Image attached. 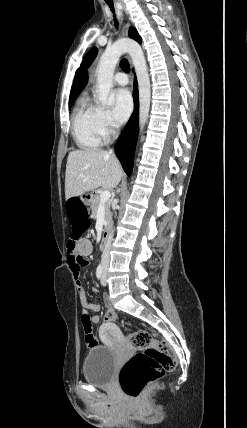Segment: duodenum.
I'll use <instances>...</instances> for the list:
<instances>
[{
  "label": "duodenum",
  "instance_id": "1",
  "mask_svg": "<svg viewBox=\"0 0 247 428\" xmlns=\"http://www.w3.org/2000/svg\"><path fill=\"white\" fill-rule=\"evenodd\" d=\"M110 231V224L107 222L102 230L101 239H100V248L103 249L107 243L108 236Z\"/></svg>",
  "mask_w": 247,
  "mask_h": 428
}]
</instances>
